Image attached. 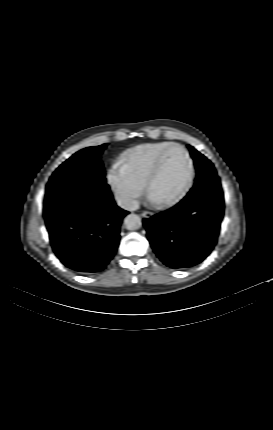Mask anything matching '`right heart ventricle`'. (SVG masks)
Listing matches in <instances>:
<instances>
[{
  "label": "right heart ventricle",
  "mask_w": 273,
  "mask_h": 430,
  "mask_svg": "<svg viewBox=\"0 0 273 430\" xmlns=\"http://www.w3.org/2000/svg\"><path fill=\"white\" fill-rule=\"evenodd\" d=\"M171 144L151 142L138 145L122 155V164L135 180L144 185L158 155Z\"/></svg>",
  "instance_id": "e07e8e85"
}]
</instances>
